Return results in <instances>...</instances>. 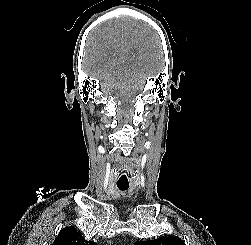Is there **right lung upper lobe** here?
Listing matches in <instances>:
<instances>
[{
  "instance_id": "cb5924a9",
  "label": "right lung upper lobe",
  "mask_w": 251,
  "mask_h": 245,
  "mask_svg": "<svg viewBox=\"0 0 251 245\" xmlns=\"http://www.w3.org/2000/svg\"><path fill=\"white\" fill-rule=\"evenodd\" d=\"M51 245H96L94 242L85 241L75 227H65L61 230L54 243Z\"/></svg>"
}]
</instances>
